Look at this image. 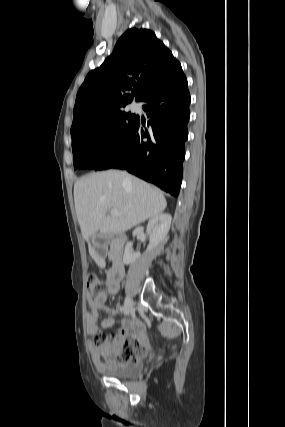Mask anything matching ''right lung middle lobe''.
Listing matches in <instances>:
<instances>
[{
  "label": "right lung middle lobe",
  "instance_id": "obj_1",
  "mask_svg": "<svg viewBox=\"0 0 285 427\" xmlns=\"http://www.w3.org/2000/svg\"><path fill=\"white\" fill-rule=\"evenodd\" d=\"M137 116L122 110L71 132L74 169H93L124 142Z\"/></svg>",
  "mask_w": 285,
  "mask_h": 427
}]
</instances>
